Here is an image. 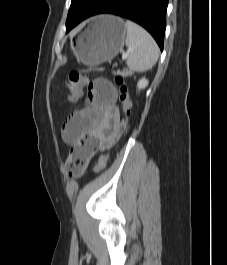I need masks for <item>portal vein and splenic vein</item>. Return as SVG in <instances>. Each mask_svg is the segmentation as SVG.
Here are the masks:
<instances>
[{
  "label": "portal vein and splenic vein",
  "mask_w": 227,
  "mask_h": 265,
  "mask_svg": "<svg viewBox=\"0 0 227 265\" xmlns=\"http://www.w3.org/2000/svg\"><path fill=\"white\" fill-rule=\"evenodd\" d=\"M129 53H130V50L127 51V52H125V53H123V55H122V59H123V60L127 59L128 56H129Z\"/></svg>",
  "instance_id": "obj_1"
}]
</instances>
